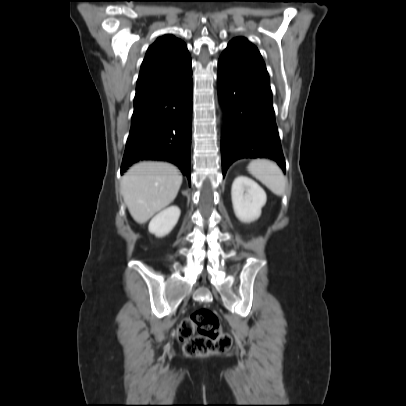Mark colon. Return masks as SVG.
I'll return each instance as SVG.
<instances>
[{
  "instance_id": "obj_1",
  "label": "colon",
  "mask_w": 406,
  "mask_h": 406,
  "mask_svg": "<svg viewBox=\"0 0 406 406\" xmlns=\"http://www.w3.org/2000/svg\"><path fill=\"white\" fill-rule=\"evenodd\" d=\"M197 331V335L194 333ZM177 338L184 342L188 357L225 353L232 346V338L221 328L216 314L207 308L193 312L177 327Z\"/></svg>"
}]
</instances>
